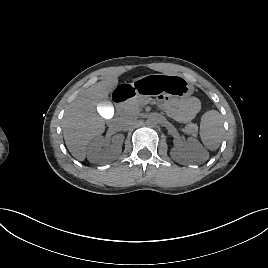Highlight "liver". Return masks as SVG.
<instances>
[{
  "mask_svg": "<svg viewBox=\"0 0 268 268\" xmlns=\"http://www.w3.org/2000/svg\"><path fill=\"white\" fill-rule=\"evenodd\" d=\"M117 84V76H111L85 89L65 114L64 140L69 152L79 161L85 159L89 142L105 130V121L96 109L104 106V101Z\"/></svg>",
  "mask_w": 268,
  "mask_h": 268,
  "instance_id": "6515ba94",
  "label": "liver"
}]
</instances>
